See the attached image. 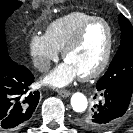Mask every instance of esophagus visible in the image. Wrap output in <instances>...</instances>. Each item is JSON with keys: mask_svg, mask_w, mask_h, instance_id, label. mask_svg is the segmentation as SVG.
Returning <instances> with one entry per match:
<instances>
[{"mask_svg": "<svg viewBox=\"0 0 133 133\" xmlns=\"http://www.w3.org/2000/svg\"><path fill=\"white\" fill-rule=\"evenodd\" d=\"M70 91L69 90H60L59 91V95L62 97H68L70 95Z\"/></svg>", "mask_w": 133, "mask_h": 133, "instance_id": "esophagus-1", "label": "esophagus"}]
</instances>
